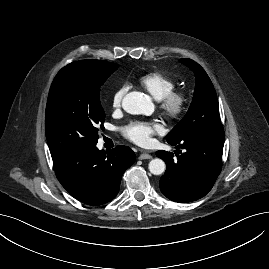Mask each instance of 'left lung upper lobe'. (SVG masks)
<instances>
[{
	"label": "left lung upper lobe",
	"mask_w": 269,
	"mask_h": 269,
	"mask_svg": "<svg viewBox=\"0 0 269 269\" xmlns=\"http://www.w3.org/2000/svg\"><path fill=\"white\" fill-rule=\"evenodd\" d=\"M194 71L196 86L193 101L184 118L168 133V143H176L200 129L222 130L218 99L214 86L204 69L191 59H181Z\"/></svg>",
	"instance_id": "1"
}]
</instances>
